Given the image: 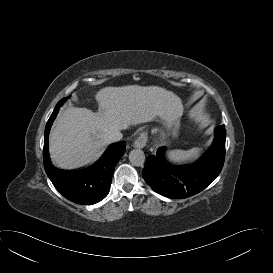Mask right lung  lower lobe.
I'll use <instances>...</instances> for the list:
<instances>
[{
  "mask_svg": "<svg viewBox=\"0 0 273 273\" xmlns=\"http://www.w3.org/2000/svg\"><path fill=\"white\" fill-rule=\"evenodd\" d=\"M64 100L57 103L46 124L43 148L44 168L55 188L65 198L77 204L92 205L107 196L114 168L125 152L126 143L123 141L111 145L100 160L84 170L72 172L54 167L49 157L48 137L51 125Z\"/></svg>",
  "mask_w": 273,
  "mask_h": 273,
  "instance_id": "right-lung-lower-lobe-1",
  "label": "right lung lower lobe"
}]
</instances>
